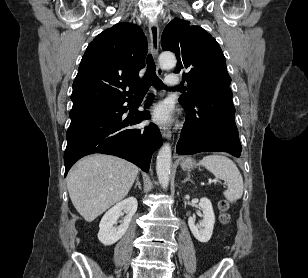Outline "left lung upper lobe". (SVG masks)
Wrapping results in <instances>:
<instances>
[{
	"label": "left lung upper lobe",
	"instance_id": "5c2ea615",
	"mask_svg": "<svg viewBox=\"0 0 308 278\" xmlns=\"http://www.w3.org/2000/svg\"><path fill=\"white\" fill-rule=\"evenodd\" d=\"M161 46L176 54L178 63L174 72L184 71L187 93L179 98L181 105H192L203 94L230 86L231 78L221 48L203 28L174 19L163 31Z\"/></svg>",
	"mask_w": 308,
	"mask_h": 278
}]
</instances>
